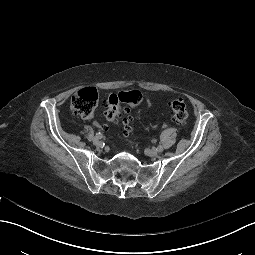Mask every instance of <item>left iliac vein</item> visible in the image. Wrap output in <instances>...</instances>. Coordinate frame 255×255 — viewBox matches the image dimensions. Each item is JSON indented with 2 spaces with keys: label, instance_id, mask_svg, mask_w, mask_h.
Returning <instances> with one entry per match:
<instances>
[{
  "label": "left iliac vein",
  "instance_id": "obj_1",
  "mask_svg": "<svg viewBox=\"0 0 255 255\" xmlns=\"http://www.w3.org/2000/svg\"><path fill=\"white\" fill-rule=\"evenodd\" d=\"M146 153L150 157H156L158 155V152L155 149H147Z\"/></svg>",
  "mask_w": 255,
  "mask_h": 255
}]
</instances>
